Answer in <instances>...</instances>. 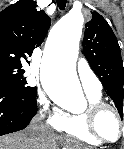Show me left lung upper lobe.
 <instances>
[{
  "mask_svg": "<svg viewBox=\"0 0 124 149\" xmlns=\"http://www.w3.org/2000/svg\"><path fill=\"white\" fill-rule=\"evenodd\" d=\"M92 15V19L85 24L83 52L123 118L124 67L120 47L107 21L96 11Z\"/></svg>",
  "mask_w": 124,
  "mask_h": 149,
  "instance_id": "obj_1",
  "label": "left lung upper lobe"
}]
</instances>
